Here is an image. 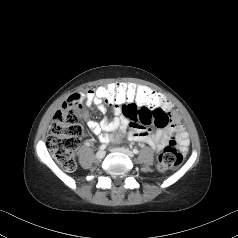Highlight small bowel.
Segmentation results:
<instances>
[{
	"mask_svg": "<svg viewBox=\"0 0 238 238\" xmlns=\"http://www.w3.org/2000/svg\"><path fill=\"white\" fill-rule=\"evenodd\" d=\"M101 87L97 89H101ZM97 89L89 90L84 95L75 94L69 99L77 101L76 107L80 110L83 118H86L87 114L80 104L82 98L85 99L87 106L95 105L103 114L107 112V105L114 107V118L104 116L100 122L91 120L87 122L89 130L98 136L101 142L127 137L130 141L145 143L155 150H161L169 143L172 136H175L182 151L187 150L189 145L188 134L180 124L179 115L171 110L168 102L165 101L159 108L150 109L153 123L145 125L139 120L141 110L145 106H133L128 103H103L100 95L96 93ZM117 129L120 130V133L114 136L112 132Z\"/></svg>",
	"mask_w": 238,
	"mask_h": 238,
	"instance_id": "obj_1",
	"label": "small bowel"
}]
</instances>
